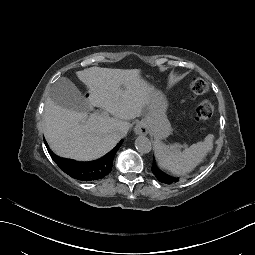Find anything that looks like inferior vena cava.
Segmentation results:
<instances>
[{"instance_id":"inferior-vena-cava-1","label":"inferior vena cava","mask_w":255,"mask_h":255,"mask_svg":"<svg viewBox=\"0 0 255 255\" xmlns=\"http://www.w3.org/2000/svg\"><path fill=\"white\" fill-rule=\"evenodd\" d=\"M130 129V123L128 122H121L117 126V133L119 138H123L127 135L128 131Z\"/></svg>"}]
</instances>
